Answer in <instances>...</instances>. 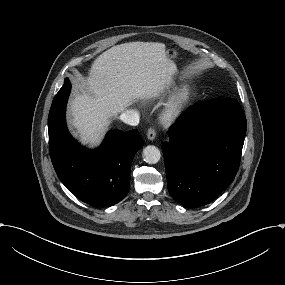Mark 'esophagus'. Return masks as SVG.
<instances>
[{
	"mask_svg": "<svg viewBox=\"0 0 285 285\" xmlns=\"http://www.w3.org/2000/svg\"><path fill=\"white\" fill-rule=\"evenodd\" d=\"M156 137V131L153 128H149L147 131V138L149 140H154Z\"/></svg>",
	"mask_w": 285,
	"mask_h": 285,
	"instance_id": "1",
	"label": "esophagus"
}]
</instances>
